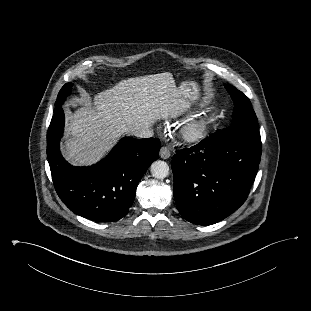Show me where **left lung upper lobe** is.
Listing matches in <instances>:
<instances>
[{
	"mask_svg": "<svg viewBox=\"0 0 311 311\" xmlns=\"http://www.w3.org/2000/svg\"><path fill=\"white\" fill-rule=\"evenodd\" d=\"M225 88L235 105L230 126H244L258 130L257 117L248 97L231 85L225 84Z\"/></svg>",
	"mask_w": 311,
	"mask_h": 311,
	"instance_id": "1",
	"label": "left lung upper lobe"
}]
</instances>
